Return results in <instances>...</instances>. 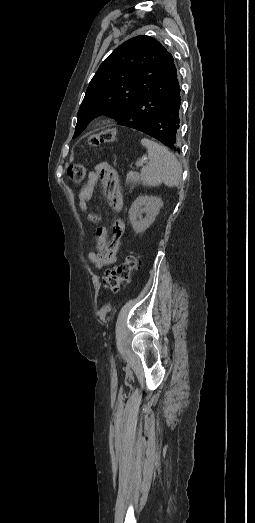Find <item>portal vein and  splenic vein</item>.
<instances>
[{"mask_svg":"<svg viewBox=\"0 0 255 523\" xmlns=\"http://www.w3.org/2000/svg\"><path fill=\"white\" fill-rule=\"evenodd\" d=\"M135 165H136L137 167H141L142 165H146V162H142L141 160H137V161L135 162Z\"/></svg>","mask_w":255,"mask_h":523,"instance_id":"18ae733b","label":"portal vein and splenic vein"}]
</instances>
